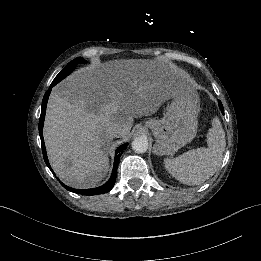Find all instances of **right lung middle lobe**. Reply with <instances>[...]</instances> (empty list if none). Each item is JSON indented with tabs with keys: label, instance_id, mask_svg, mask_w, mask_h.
I'll list each match as a JSON object with an SVG mask.
<instances>
[{
	"label": "right lung middle lobe",
	"instance_id": "right-lung-middle-lobe-1",
	"mask_svg": "<svg viewBox=\"0 0 261 261\" xmlns=\"http://www.w3.org/2000/svg\"><path fill=\"white\" fill-rule=\"evenodd\" d=\"M85 64L86 61L81 58H75L74 60H72L71 62H69L66 67L55 77V79L53 80L52 84L56 85L57 83H59L61 80H63L66 76H68L77 66V64Z\"/></svg>",
	"mask_w": 261,
	"mask_h": 261
}]
</instances>
